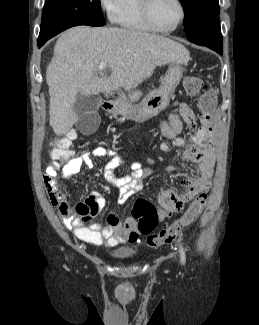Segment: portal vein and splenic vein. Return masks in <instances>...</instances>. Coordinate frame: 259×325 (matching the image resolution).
Listing matches in <instances>:
<instances>
[{"mask_svg":"<svg viewBox=\"0 0 259 325\" xmlns=\"http://www.w3.org/2000/svg\"><path fill=\"white\" fill-rule=\"evenodd\" d=\"M107 66L106 62H101L99 67H98V71H102L103 69H105Z\"/></svg>","mask_w":259,"mask_h":325,"instance_id":"1","label":"portal vein and splenic vein"}]
</instances>
